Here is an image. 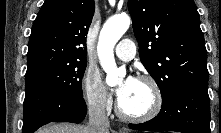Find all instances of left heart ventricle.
<instances>
[{
	"label": "left heart ventricle",
	"mask_w": 221,
	"mask_h": 133,
	"mask_svg": "<svg viewBox=\"0 0 221 133\" xmlns=\"http://www.w3.org/2000/svg\"><path fill=\"white\" fill-rule=\"evenodd\" d=\"M152 92L148 84L136 81L131 91L120 99L123 110L129 114H142L152 104Z\"/></svg>",
	"instance_id": "left-heart-ventricle-1"
}]
</instances>
